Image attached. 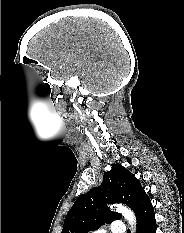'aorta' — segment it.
<instances>
[{"label": "aorta", "instance_id": "762f6f07", "mask_svg": "<svg viewBox=\"0 0 184 233\" xmlns=\"http://www.w3.org/2000/svg\"><path fill=\"white\" fill-rule=\"evenodd\" d=\"M117 210L124 216V218L128 221L129 225L131 226V229L133 230L136 223L133 212L126 206H119L117 207Z\"/></svg>", "mask_w": 184, "mask_h": 233}]
</instances>
